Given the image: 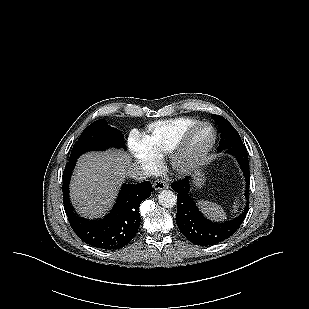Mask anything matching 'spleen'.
<instances>
[{
    "mask_svg": "<svg viewBox=\"0 0 309 309\" xmlns=\"http://www.w3.org/2000/svg\"><path fill=\"white\" fill-rule=\"evenodd\" d=\"M198 205L201 207L202 211L211 219L224 220L226 218V214L223 208L216 203L202 200L198 202Z\"/></svg>",
    "mask_w": 309,
    "mask_h": 309,
    "instance_id": "3e777b00",
    "label": "spleen"
}]
</instances>
